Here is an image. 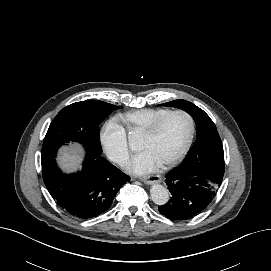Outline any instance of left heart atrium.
Masks as SVG:
<instances>
[{
  "label": "left heart atrium",
  "instance_id": "left-heart-atrium-1",
  "mask_svg": "<svg viewBox=\"0 0 271 271\" xmlns=\"http://www.w3.org/2000/svg\"><path fill=\"white\" fill-rule=\"evenodd\" d=\"M160 162L147 150L136 154L129 163V170L137 175L146 174L156 170Z\"/></svg>",
  "mask_w": 271,
  "mask_h": 271
}]
</instances>
